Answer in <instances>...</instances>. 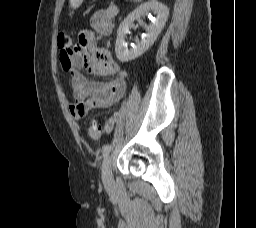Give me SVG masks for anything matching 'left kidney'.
<instances>
[{
    "mask_svg": "<svg viewBox=\"0 0 256 228\" xmlns=\"http://www.w3.org/2000/svg\"><path fill=\"white\" fill-rule=\"evenodd\" d=\"M153 11L157 15L152 25L146 27V35L141 41H136V45L131 49L127 48L125 36L129 29L133 26L135 19H140L147 11ZM169 16V9L164 4L157 0H151L141 4L138 8L132 11L120 24L117 31V39L115 44V53L119 61L128 62L141 56L155 42Z\"/></svg>",
    "mask_w": 256,
    "mask_h": 228,
    "instance_id": "5707ae66",
    "label": "left kidney"
}]
</instances>
